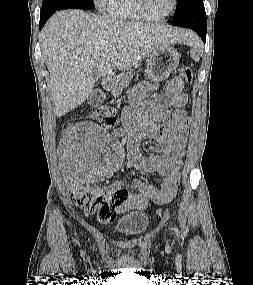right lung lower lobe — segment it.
<instances>
[{
  "label": "right lung lower lobe",
  "mask_w": 253,
  "mask_h": 285,
  "mask_svg": "<svg viewBox=\"0 0 253 285\" xmlns=\"http://www.w3.org/2000/svg\"><path fill=\"white\" fill-rule=\"evenodd\" d=\"M57 10H47V11H41V15H40V29H42V27L44 26V24L46 23V21L49 19V17L55 13Z\"/></svg>",
  "instance_id": "right-lung-lower-lobe-1"
}]
</instances>
